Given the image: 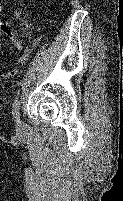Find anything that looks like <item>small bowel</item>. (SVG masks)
Segmentation results:
<instances>
[{
  "mask_svg": "<svg viewBox=\"0 0 123 201\" xmlns=\"http://www.w3.org/2000/svg\"><path fill=\"white\" fill-rule=\"evenodd\" d=\"M1 12H2V6L0 4V14ZM0 29L2 30L3 33H5L10 38L15 50L19 54V57L14 62V65L15 66L22 65L28 57L29 50H24L23 45L20 39L18 38L17 31L14 28H12L8 23L0 21ZM5 64H6V61L0 57V65H5ZM17 72H18V68L16 67L12 69L7 74V76H13L17 74Z\"/></svg>",
  "mask_w": 123,
  "mask_h": 201,
  "instance_id": "small-bowel-1",
  "label": "small bowel"
}]
</instances>
